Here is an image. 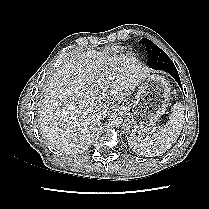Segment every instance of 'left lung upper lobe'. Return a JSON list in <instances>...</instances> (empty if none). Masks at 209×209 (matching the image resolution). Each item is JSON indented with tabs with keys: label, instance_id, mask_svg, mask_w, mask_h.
Listing matches in <instances>:
<instances>
[{
	"label": "left lung upper lobe",
	"instance_id": "1",
	"mask_svg": "<svg viewBox=\"0 0 209 209\" xmlns=\"http://www.w3.org/2000/svg\"><path fill=\"white\" fill-rule=\"evenodd\" d=\"M143 42L147 49L148 57H149V67L155 70H167L176 68L171 59L167 56V54L161 50L158 46H156L149 39L144 38Z\"/></svg>",
	"mask_w": 209,
	"mask_h": 209
}]
</instances>
